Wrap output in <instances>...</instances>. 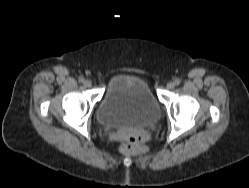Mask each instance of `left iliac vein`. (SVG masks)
<instances>
[{"label":"left iliac vein","mask_w":249,"mask_h":188,"mask_svg":"<svg viewBox=\"0 0 249 188\" xmlns=\"http://www.w3.org/2000/svg\"><path fill=\"white\" fill-rule=\"evenodd\" d=\"M174 86H175V84L173 82H169V83H167L166 87H167V89L171 90L174 88Z\"/></svg>","instance_id":"left-iliac-vein-1"}]
</instances>
